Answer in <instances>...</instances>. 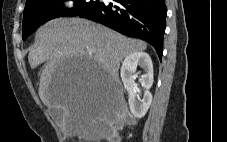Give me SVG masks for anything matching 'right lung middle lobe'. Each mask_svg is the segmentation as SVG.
<instances>
[{
    "instance_id": "right-lung-middle-lobe-1",
    "label": "right lung middle lobe",
    "mask_w": 227,
    "mask_h": 142,
    "mask_svg": "<svg viewBox=\"0 0 227 142\" xmlns=\"http://www.w3.org/2000/svg\"><path fill=\"white\" fill-rule=\"evenodd\" d=\"M62 0H29L26 2L22 37L25 40L39 26L57 17L78 16L86 9L98 5L101 0H74V7L67 9L61 4Z\"/></svg>"
}]
</instances>
